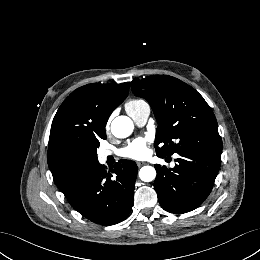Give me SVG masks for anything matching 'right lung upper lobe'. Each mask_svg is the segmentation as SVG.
<instances>
[{"instance_id": "right-lung-upper-lobe-1", "label": "right lung upper lobe", "mask_w": 260, "mask_h": 260, "mask_svg": "<svg viewBox=\"0 0 260 260\" xmlns=\"http://www.w3.org/2000/svg\"><path fill=\"white\" fill-rule=\"evenodd\" d=\"M128 91V82L88 84L74 90L59 107L51 126L47 159L64 195L97 165L94 143L105 134L109 116Z\"/></svg>"}]
</instances>
